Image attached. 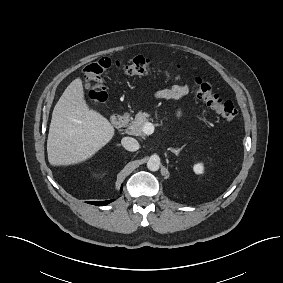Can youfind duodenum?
<instances>
[{
  "instance_id": "duodenum-1",
  "label": "duodenum",
  "mask_w": 283,
  "mask_h": 283,
  "mask_svg": "<svg viewBox=\"0 0 283 283\" xmlns=\"http://www.w3.org/2000/svg\"><path fill=\"white\" fill-rule=\"evenodd\" d=\"M129 118L130 116L128 113L115 115L112 119V125L115 128H123L127 125Z\"/></svg>"
}]
</instances>
